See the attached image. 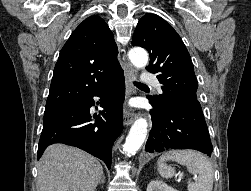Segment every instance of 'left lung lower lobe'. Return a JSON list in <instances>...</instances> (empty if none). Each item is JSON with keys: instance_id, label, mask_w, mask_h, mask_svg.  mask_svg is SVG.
Returning <instances> with one entry per match:
<instances>
[{"instance_id": "0a47b994", "label": "left lung lower lobe", "mask_w": 251, "mask_h": 191, "mask_svg": "<svg viewBox=\"0 0 251 191\" xmlns=\"http://www.w3.org/2000/svg\"><path fill=\"white\" fill-rule=\"evenodd\" d=\"M149 100L153 109L152 130L145 146L147 152L153 154L169 149H195L211 155L213 147L197 99L180 100L167 106Z\"/></svg>"}]
</instances>
